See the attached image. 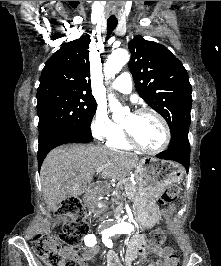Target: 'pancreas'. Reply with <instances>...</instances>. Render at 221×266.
<instances>
[{
  "label": "pancreas",
  "instance_id": "pancreas-1",
  "mask_svg": "<svg viewBox=\"0 0 221 266\" xmlns=\"http://www.w3.org/2000/svg\"><path fill=\"white\" fill-rule=\"evenodd\" d=\"M138 191L137 185H134L129 178L121 180L113 192L114 202L123 201L126 197L134 198Z\"/></svg>",
  "mask_w": 221,
  "mask_h": 266
}]
</instances>
